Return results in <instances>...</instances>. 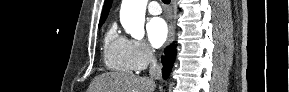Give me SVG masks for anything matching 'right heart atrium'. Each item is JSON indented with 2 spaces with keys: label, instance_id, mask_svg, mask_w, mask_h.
Returning a JSON list of instances; mask_svg holds the SVG:
<instances>
[{
  "label": "right heart atrium",
  "instance_id": "1",
  "mask_svg": "<svg viewBox=\"0 0 289 92\" xmlns=\"http://www.w3.org/2000/svg\"><path fill=\"white\" fill-rule=\"evenodd\" d=\"M129 55L134 70L138 71L144 70L154 60V51L144 40H129Z\"/></svg>",
  "mask_w": 289,
  "mask_h": 92
}]
</instances>
